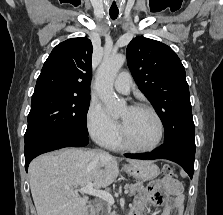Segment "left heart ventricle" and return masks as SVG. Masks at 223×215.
<instances>
[{
  "label": "left heart ventricle",
  "instance_id": "left-heart-ventricle-1",
  "mask_svg": "<svg viewBox=\"0 0 223 215\" xmlns=\"http://www.w3.org/2000/svg\"><path fill=\"white\" fill-rule=\"evenodd\" d=\"M126 139L136 147H149L157 138V124L141 109L124 108L119 115Z\"/></svg>",
  "mask_w": 223,
  "mask_h": 215
}]
</instances>
